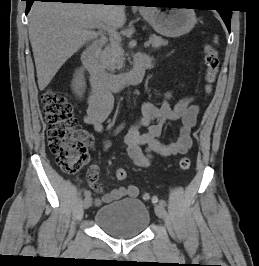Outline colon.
<instances>
[{
    "instance_id": "colon-1",
    "label": "colon",
    "mask_w": 259,
    "mask_h": 266,
    "mask_svg": "<svg viewBox=\"0 0 259 266\" xmlns=\"http://www.w3.org/2000/svg\"><path fill=\"white\" fill-rule=\"evenodd\" d=\"M205 73V93L210 94L218 73L219 57L217 51L208 44L203 46ZM44 119L47 124V140L51 152L60 168L69 174L77 173L88 161L87 145L91 136L78 128L70 102L61 94L48 89L41 96ZM191 162L181 158L179 167L188 170ZM118 180H125L127 172L119 168L115 172ZM144 199L155 203L157 198L144 194Z\"/></svg>"
}]
</instances>
